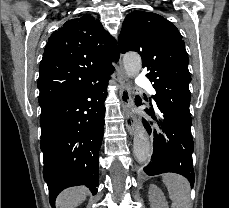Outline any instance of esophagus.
Returning a JSON list of instances; mask_svg holds the SVG:
<instances>
[{"mask_svg": "<svg viewBox=\"0 0 229 208\" xmlns=\"http://www.w3.org/2000/svg\"><path fill=\"white\" fill-rule=\"evenodd\" d=\"M119 96L122 104L123 115L125 117V126L130 135H134L137 128L136 118L131 110L134 103L131 97L130 81L123 70L121 75V89Z\"/></svg>", "mask_w": 229, "mask_h": 208, "instance_id": "1", "label": "esophagus"}]
</instances>
